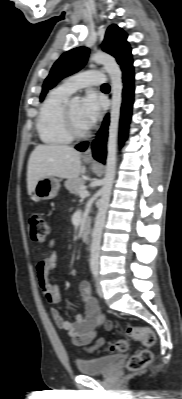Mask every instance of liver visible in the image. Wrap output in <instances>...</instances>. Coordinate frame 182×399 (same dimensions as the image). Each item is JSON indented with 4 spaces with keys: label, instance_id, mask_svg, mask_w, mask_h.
Returning a JSON list of instances; mask_svg holds the SVG:
<instances>
[{
    "label": "liver",
    "instance_id": "obj_1",
    "mask_svg": "<svg viewBox=\"0 0 182 399\" xmlns=\"http://www.w3.org/2000/svg\"><path fill=\"white\" fill-rule=\"evenodd\" d=\"M81 154L67 145H38L32 151L27 166V190L33 193L36 183L44 177L76 179L86 172L81 166Z\"/></svg>",
    "mask_w": 182,
    "mask_h": 399
}]
</instances>
